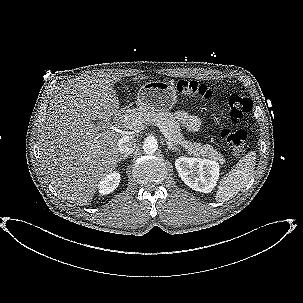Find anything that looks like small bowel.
<instances>
[{
	"label": "small bowel",
	"mask_w": 303,
	"mask_h": 303,
	"mask_svg": "<svg viewBox=\"0 0 303 303\" xmlns=\"http://www.w3.org/2000/svg\"><path fill=\"white\" fill-rule=\"evenodd\" d=\"M176 118L182 127L190 132L196 131L200 124L199 119L196 116L190 115L184 111H178L176 113Z\"/></svg>",
	"instance_id": "c3829d8e"
}]
</instances>
